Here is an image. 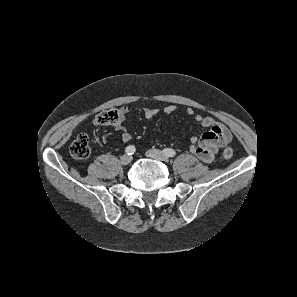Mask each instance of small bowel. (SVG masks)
I'll list each match as a JSON object with an SVG mask.
<instances>
[{
    "label": "small bowel",
    "mask_w": 297,
    "mask_h": 297,
    "mask_svg": "<svg viewBox=\"0 0 297 297\" xmlns=\"http://www.w3.org/2000/svg\"><path fill=\"white\" fill-rule=\"evenodd\" d=\"M175 111L176 107L174 105H168L164 108V113L167 115H172ZM119 112L121 118L120 122L115 125V128L122 132V141L127 143L132 139V134L125 129L121 121L128 113V108L123 106L119 109ZM186 112L191 116L195 114L192 108H188ZM157 114L158 109L156 108H147L144 111V116L147 119H152ZM194 119L204 127L208 128V130L202 134L198 142L196 139H192L190 151L200 160L211 162L220 147L230 141L231 133L226 127L217 123L215 119L210 116L196 114L194 115Z\"/></svg>",
    "instance_id": "small-bowel-1"
}]
</instances>
